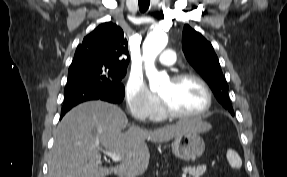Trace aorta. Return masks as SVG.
<instances>
[{"instance_id":"1","label":"aorta","mask_w":287,"mask_h":177,"mask_svg":"<svg viewBox=\"0 0 287 177\" xmlns=\"http://www.w3.org/2000/svg\"><path fill=\"white\" fill-rule=\"evenodd\" d=\"M167 43L168 37L162 31L150 33L144 41L143 59L151 91H157L162 84L168 81L167 74L158 72L154 64L156 57L166 47Z\"/></svg>"}]
</instances>
